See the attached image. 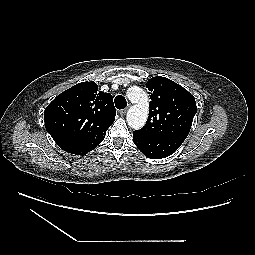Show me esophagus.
<instances>
[{"instance_id": "esophagus-1", "label": "esophagus", "mask_w": 255, "mask_h": 255, "mask_svg": "<svg viewBox=\"0 0 255 255\" xmlns=\"http://www.w3.org/2000/svg\"><path fill=\"white\" fill-rule=\"evenodd\" d=\"M128 111V107L119 111L121 115H125Z\"/></svg>"}]
</instances>
